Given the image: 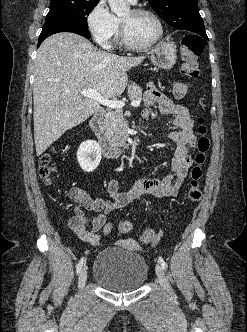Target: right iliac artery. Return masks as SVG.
<instances>
[{"label":"right iliac artery","instance_id":"82829eb1","mask_svg":"<svg viewBox=\"0 0 247 332\" xmlns=\"http://www.w3.org/2000/svg\"><path fill=\"white\" fill-rule=\"evenodd\" d=\"M83 262H84V257L80 259V261L78 262L77 264V267H76V272L77 274L80 273L81 269H82V266H83Z\"/></svg>","mask_w":247,"mask_h":332}]
</instances>
